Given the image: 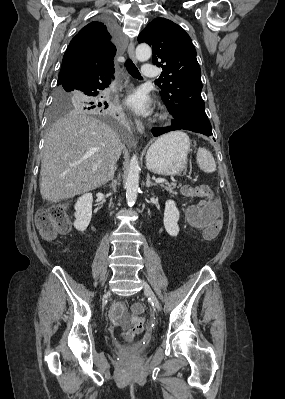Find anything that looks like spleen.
I'll return each mask as SVG.
<instances>
[{
    "label": "spleen",
    "mask_w": 285,
    "mask_h": 399,
    "mask_svg": "<svg viewBox=\"0 0 285 399\" xmlns=\"http://www.w3.org/2000/svg\"><path fill=\"white\" fill-rule=\"evenodd\" d=\"M196 159L201 170L207 173H212L216 170L215 160L207 149L199 148Z\"/></svg>",
    "instance_id": "1"
}]
</instances>
